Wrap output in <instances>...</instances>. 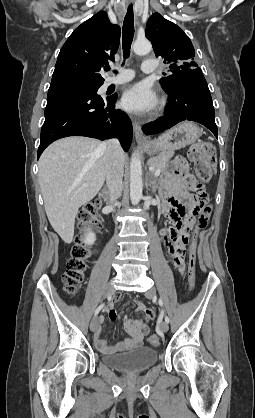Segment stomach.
Segmentation results:
<instances>
[{
  "mask_svg": "<svg viewBox=\"0 0 255 418\" xmlns=\"http://www.w3.org/2000/svg\"><path fill=\"white\" fill-rule=\"evenodd\" d=\"M200 136L199 128L190 122H184L166 131L157 139L148 141L143 145L144 150L154 155L158 152L167 153L184 148L194 143Z\"/></svg>",
  "mask_w": 255,
  "mask_h": 418,
  "instance_id": "1",
  "label": "stomach"
}]
</instances>
